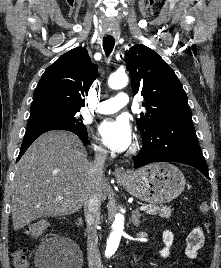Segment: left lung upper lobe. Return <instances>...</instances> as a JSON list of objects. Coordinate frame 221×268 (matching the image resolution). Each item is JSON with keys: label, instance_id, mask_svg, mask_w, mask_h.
Wrapping results in <instances>:
<instances>
[{"label": "left lung upper lobe", "instance_id": "left-lung-upper-lobe-1", "mask_svg": "<svg viewBox=\"0 0 221 268\" xmlns=\"http://www.w3.org/2000/svg\"><path fill=\"white\" fill-rule=\"evenodd\" d=\"M133 94L144 98L145 113L136 120L142 138L162 121H192L182 84L174 71L152 49L136 44L126 54Z\"/></svg>", "mask_w": 221, "mask_h": 268}]
</instances>
